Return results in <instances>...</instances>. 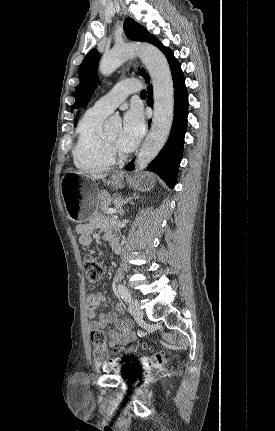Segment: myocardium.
I'll return each mask as SVG.
<instances>
[{
	"label": "myocardium",
	"instance_id": "1",
	"mask_svg": "<svg viewBox=\"0 0 275 431\" xmlns=\"http://www.w3.org/2000/svg\"><path fill=\"white\" fill-rule=\"evenodd\" d=\"M104 143L106 146V151L108 156L114 161V162H122L125 160L126 155L120 151L113 143H111L106 136H104Z\"/></svg>",
	"mask_w": 275,
	"mask_h": 431
}]
</instances>
